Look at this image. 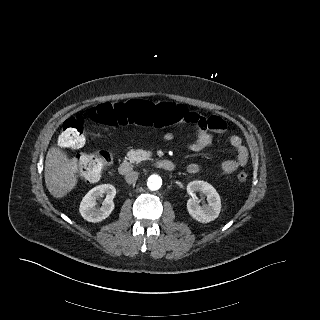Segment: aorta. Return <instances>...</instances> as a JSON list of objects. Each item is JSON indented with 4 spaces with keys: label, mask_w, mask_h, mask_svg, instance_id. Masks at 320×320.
<instances>
[{
    "label": "aorta",
    "mask_w": 320,
    "mask_h": 320,
    "mask_svg": "<svg viewBox=\"0 0 320 320\" xmlns=\"http://www.w3.org/2000/svg\"><path fill=\"white\" fill-rule=\"evenodd\" d=\"M147 186L151 191H156L162 186V178L156 174L151 175L148 178Z\"/></svg>",
    "instance_id": "obj_1"
}]
</instances>
